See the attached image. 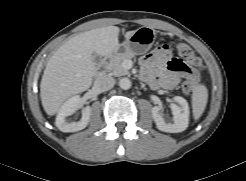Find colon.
Here are the masks:
<instances>
[{"instance_id":"5ec220e1","label":"colon","mask_w":246,"mask_h":181,"mask_svg":"<svg viewBox=\"0 0 246 181\" xmlns=\"http://www.w3.org/2000/svg\"><path fill=\"white\" fill-rule=\"evenodd\" d=\"M176 50L186 62L188 71L187 80L183 83L182 90L186 94H191L200 77L199 70L202 67L201 60L187 44H177Z\"/></svg>"}]
</instances>
